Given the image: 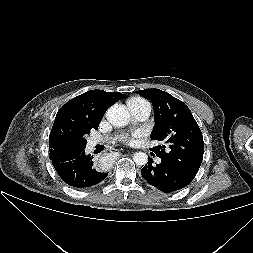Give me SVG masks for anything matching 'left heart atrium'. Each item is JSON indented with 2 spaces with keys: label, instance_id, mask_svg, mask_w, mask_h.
<instances>
[{
  "label": "left heart atrium",
  "instance_id": "1",
  "mask_svg": "<svg viewBox=\"0 0 253 253\" xmlns=\"http://www.w3.org/2000/svg\"><path fill=\"white\" fill-rule=\"evenodd\" d=\"M141 133L139 131H136L132 134H122L121 136H119L118 140L123 142V143H133L134 140L138 137H140Z\"/></svg>",
  "mask_w": 253,
  "mask_h": 253
}]
</instances>
